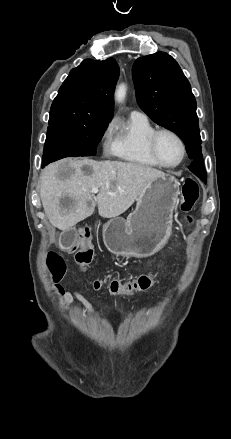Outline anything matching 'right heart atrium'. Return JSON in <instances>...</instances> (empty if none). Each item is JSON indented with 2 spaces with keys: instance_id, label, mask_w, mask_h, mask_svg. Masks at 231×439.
Here are the masks:
<instances>
[{
  "instance_id": "right-heart-atrium-1",
  "label": "right heart atrium",
  "mask_w": 231,
  "mask_h": 439,
  "mask_svg": "<svg viewBox=\"0 0 231 439\" xmlns=\"http://www.w3.org/2000/svg\"><path fill=\"white\" fill-rule=\"evenodd\" d=\"M114 127L113 120L109 121L101 133V144L105 153H111L114 145Z\"/></svg>"
}]
</instances>
